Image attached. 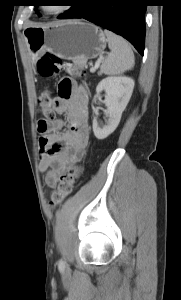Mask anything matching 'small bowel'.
<instances>
[{"label":"small bowel","instance_id":"small-bowel-1","mask_svg":"<svg viewBox=\"0 0 181 300\" xmlns=\"http://www.w3.org/2000/svg\"><path fill=\"white\" fill-rule=\"evenodd\" d=\"M54 111L64 114L69 129L62 132L65 121L54 118L48 122L45 134L39 139V170L45 173L49 187L57 184L61 174L78 164L83 158L88 142V96L85 89L70 78L58 84V96L53 100Z\"/></svg>","mask_w":181,"mask_h":300}]
</instances>
